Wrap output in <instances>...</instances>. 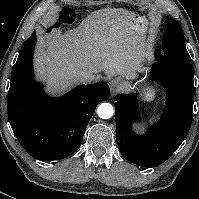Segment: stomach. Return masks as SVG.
Returning a JSON list of instances; mask_svg holds the SVG:
<instances>
[{"label":"stomach","mask_w":199,"mask_h":199,"mask_svg":"<svg viewBox=\"0 0 199 199\" xmlns=\"http://www.w3.org/2000/svg\"><path fill=\"white\" fill-rule=\"evenodd\" d=\"M131 22L134 24H138L142 27H146L147 20L144 17L135 15ZM155 98V90L153 88H145L142 92V101L144 102H152Z\"/></svg>","instance_id":"stomach-1"}]
</instances>
